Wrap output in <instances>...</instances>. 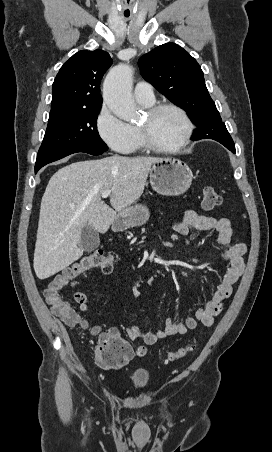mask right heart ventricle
I'll use <instances>...</instances> for the list:
<instances>
[{"label":"right heart ventricle","mask_w":272,"mask_h":452,"mask_svg":"<svg viewBox=\"0 0 272 452\" xmlns=\"http://www.w3.org/2000/svg\"><path fill=\"white\" fill-rule=\"evenodd\" d=\"M141 104L145 107H150L152 105V104H145V103H141ZM130 126L133 131V138H132L130 149L128 150L127 153L135 152L144 147L142 140L140 138L137 126H134V125H130Z\"/></svg>","instance_id":"1"}]
</instances>
